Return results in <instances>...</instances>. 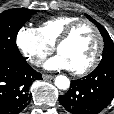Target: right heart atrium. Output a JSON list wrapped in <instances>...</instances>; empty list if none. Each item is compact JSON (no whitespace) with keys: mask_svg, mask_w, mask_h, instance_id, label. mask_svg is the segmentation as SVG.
<instances>
[{"mask_svg":"<svg viewBox=\"0 0 114 114\" xmlns=\"http://www.w3.org/2000/svg\"><path fill=\"white\" fill-rule=\"evenodd\" d=\"M16 45L25 59L32 65H40L53 51V45L47 43L37 29L31 27H22L18 30Z\"/></svg>","mask_w":114,"mask_h":114,"instance_id":"1","label":"right heart atrium"}]
</instances>
